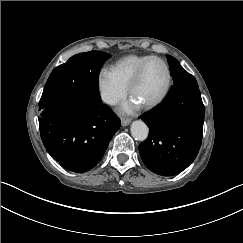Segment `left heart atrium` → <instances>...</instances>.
I'll list each match as a JSON object with an SVG mask.
<instances>
[{
	"instance_id": "left-heart-atrium-1",
	"label": "left heart atrium",
	"mask_w": 243,
	"mask_h": 243,
	"mask_svg": "<svg viewBox=\"0 0 243 243\" xmlns=\"http://www.w3.org/2000/svg\"><path fill=\"white\" fill-rule=\"evenodd\" d=\"M143 105L133 96H130L120 106V110L125 113H135L141 109Z\"/></svg>"
}]
</instances>
